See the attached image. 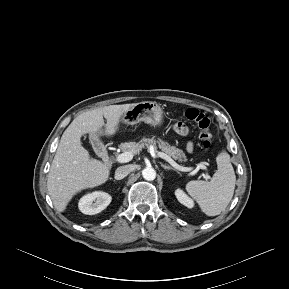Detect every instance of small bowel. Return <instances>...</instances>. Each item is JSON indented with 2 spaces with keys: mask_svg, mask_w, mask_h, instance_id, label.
Here are the masks:
<instances>
[{
  "mask_svg": "<svg viewBox=\"0 0 289 289\" xmlns=\"http://www.w3.org/2000/svg\"><path fill=\"white\" fill-rule=\"evenodd\" d=\"M175 129H176V131H177L179 134H181V135H186V134H187V128H186V126H185L184 124H182V123H176V124H175ZM187 150H188L189 152H191V151L193 150V144H192V143H189V144L187 145Z\"/></svg>",
  "mask_w": 289,
  "mask_h": 289,
  "instance_id": "obj_1",
  "label": "small bowel"
}]
</instances>
